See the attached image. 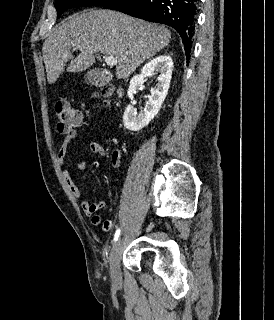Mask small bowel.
Wrapping results in <instances>:
<instances>
[{
  "label": "small bowel",
  "instance_id": "small-bowel-1",
  "mask_svg": "<svg viewBox=\"0 0 274 320\" xmlns=\"http://www.w3.org/2000/svg\"><path fill=\"white\" fill-rule=\"evenodd\" d=\"M75 124L78 126V129H72L64 134L62 143L57 151V161L58 165L62 170L63 176L66 180V183L69 187L70 192L72 195L80 201L81 208L84 212V214L87 217L91 218V223L93 225H103V228L106 226H109V228H112V221L106 220L104 221V218L101 214L98 212L105 208L106 203L103 200H99L96 202H90L84 195V192L82 189L76 184L72 174L67 169L65 165L66 156L68 154V149L70 143L77 137L78 130L79 131H86L87 130V119H77L75 121ZM90 150L98 154L100 156L106 155V150L97 142L91 141L89 143ZM75 167L78 170L84 171L87 168V164L84 161H78L76 160L74 162ZM111 165L115 170H119L122 165V151L119 149H116L111 154Z\"/></svg>",
  "mask_w": 274,
  "mask_h": 320
}]
</instances>
